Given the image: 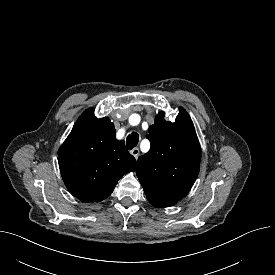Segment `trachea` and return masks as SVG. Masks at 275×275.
<instances>
[{"instance_id":"trachea-1","label":"trachea","mask_w":275,"mask_h":275,"mask_svg":"<svg viewBox=\"0 0 275 275\" xmlns=\"http://www.w3.org/2000/svg\"><path fill=\"white\" fill-rule=\"evenodd\" d=\"M139 142V135L136 132H132L127 136L126 145L129 150L133 149Z\"/></svg>"}]
</instances>
